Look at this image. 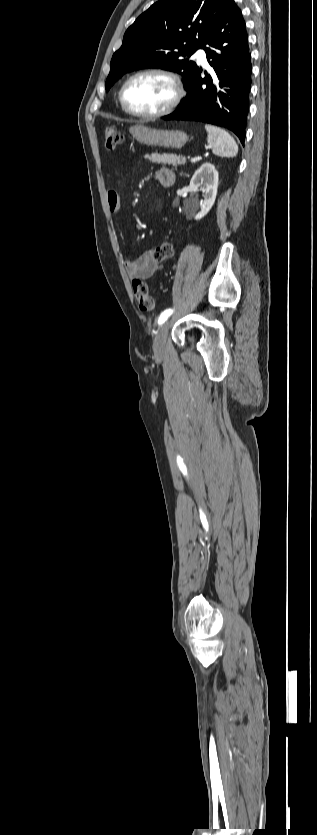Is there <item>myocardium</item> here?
Listing matches in <instances>:
<instances>
[{
  "label": "myocardium",
  "instance_id": "f54148a6",
  "mask_svg": "<svg viewBox=\"0 0 317 835\" xmlns=\"http://www.w3.org/2000/svg\"><path fill=\"white\" fill-rule=\"evenodd\" d=\"M143 75H159V76L165 77L166 79H168L171 82V84L174 88V96L170 100V102L163 109H161L159 111H156V112H153V113H143V112H137V111L131 109L128 106V104L125 100V96H124L125 89H126L127 85L132 80L136 79L137 77L143 76ZM184 96H185V91H184V87H183L182 81L179 78V76L177 74H175L174 72H172L170 70H167V69H163V68H146V69H142V70H139V71L133 73L132 75H130L124 81V83L122 84V86L119 90V93H118V98H119L120 104H121L122 108L127 113H129L132 116L139 117V118H145V119L160 118V117H163V116H166V115L172 113L180 105Z\"/></svg>",
  "mask_w": 317,
  "mask_h": 835
}]
</instances>
